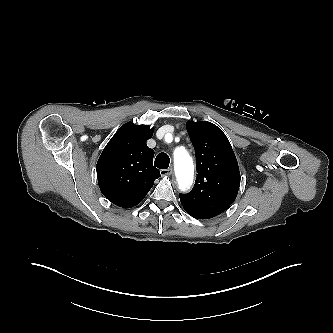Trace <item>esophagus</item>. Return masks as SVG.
Returning <instances> with one entry per match:
<instances>
[{
	"instance_id": "esophagus-1",
	"label": "esophagus",
	"mask_w": 333,
	"mask_h": 333,
	"mask_svg": "<svg viewBox=\"0 0 333 333\" xmlns=\"http://www.w3.org/2000/svg\"><path fill=\"white\" fill-rule=\"evenodd\" d=\"M173 173V168L162 169L160 170L161 176H170Z\"/></svg>"
}]
</instances>
